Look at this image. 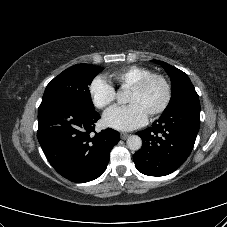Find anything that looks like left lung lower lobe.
Returning a JSON list of instances; mask_svg holds the SVG:
<instances>
[{
  "mask_svg": "<svg viewBox=\"0 0 227 227\" xmlns=\"http://www.w3.org/2000/svg\"><path fill=\"white\" fill-rule=\"evenodd\" d=\"M199 127V100L184 101L163 113L151 127L136 133L143 141L133 156L136 168L149 176L174 172L191 153Z\"/></svg>",
  "mask_w": 227,
  "mask_h": 227,
  "instance_id": "obj_1",
  "label": "left lung lower lobe"
}]
</instances>
